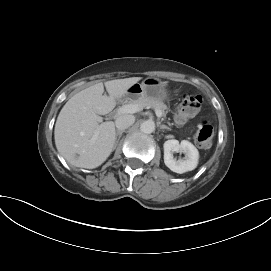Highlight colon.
Masks as SVG:
<instances>
[{
  "instance_id": "5ec220e1",
  "label": "colon",
  "mask_w": 271,
  "mask_h": 271,
  "mask_svg": "<svg viewBox=\"0 0 271 271\" xmlns=\"http://www.w3.org/2000/svg\"><path fill=\"white\" fill-rule=\"evenodd\" d=\"M202 99L200 96L187 94L176 112L175 121L179 125H184L189 119L194 117L200 107ZM214 130L209 120L203 119L199 122L195 134L197 145L202 149H209L212 146Z\"/></svg>"
}]
</instances>
